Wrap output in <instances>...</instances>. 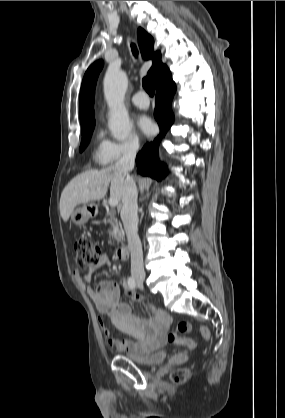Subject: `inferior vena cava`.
I'll list each match as a JSON object with an SVG mask.
<instances>
[{
  "instance_id": "1",
  "label": "inferior vena cava",
  "mask_w": 285,
  "mask_h": 418,
  "mask_svg": "<svg viewBox=\"0 0 285 418\" xmlns=\"http://www.w3.org/2000/svg\"><path fill=\"white\" fill-rule=\"evenodd\" d=\"M137 150V144L128 145L123 156L115 164V168L124 177L121 219L131 252V274L144 276L142 245L138 236V191L129 174L134 168Z\"/></svg>"
}]
</instances>
